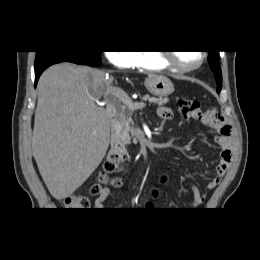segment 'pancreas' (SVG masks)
<instances>
[{
  "label": "pancreas",
  "instance_id": "obj_1",
  "mask_svg": "<svg viewBox=\"0 0 260 260\" xmlns=\"http://www.w3.org/2000/svg\"><path fill=\"white\" fill-rule=\"evenodd\" d=\"M144 100H148L150 103H154L158 106H163L168 102L167 98H155L145 95ZM133 109L129 108L127 105H120L118 112L116 114V122L120 127L121 131V140L125 145L131 143V138L133 137V143H137V137L135 136L134 130L131 127L133 124L132 120Z\"/></svg>",
  "mask_w": 260,
  "mask_h": 260
}]
</instances>
